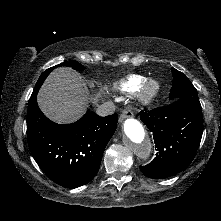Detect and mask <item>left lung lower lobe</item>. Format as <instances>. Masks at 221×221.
Returning a JSON list of instances; mask_svg holds the SVG:
<instances>
[{
    "label": "left lung lower lobe",
    "mask_w": 221,
    "mask_h": 221,
    "mask_svg": "<svg viewBox=\"0 0 221 221\" xmlns=\"http://www.w3.org/2000/svg\"><path fill=\"white\" fill-rule=\"evenodd\" d=\"M140 119L152 132L158 149L151 163L140 166L145 176L170 177L192 162L203 132L200 102L177 99L165 107L140 112Z\"/></svg>",
    "instance_id": "obj_1"
}]
</instances>
